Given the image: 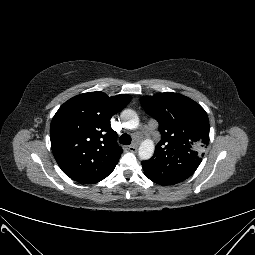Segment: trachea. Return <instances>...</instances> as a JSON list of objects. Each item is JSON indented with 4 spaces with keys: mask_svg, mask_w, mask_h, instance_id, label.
Segmentation results:
<instances>
[{
    "mask_svg": "<svg viewBox=\"0 0 255 255\" xmlns=\"http://www.w3.org/2000/svg\"><path fill=\"white\" fill-rule=\"evenodd\" d=\"M119 142L123 145H129L131 143V137L128 134H122L119 138Z\"/></svg>",
    "mask_w": 255,
    "mask_h": 255,
    "instance_id": "obj_1",
    "label": "trachea"
}]
</instances>
